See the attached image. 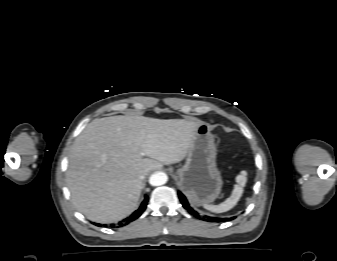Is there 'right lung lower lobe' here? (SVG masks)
Masks as SVG:
<instances>
[{"instance_id":"1","label":"right lung lower lobe","mask_w":337,"mask_h":261,"mask_svg":"<svg viewBox=\"0 0 337 261\" xmlns=\"http://www.w3.org/2000/svg\"><path fill=\"white\" fill-rule=\"evenodd\" d=\"M148 202V196H145L144 201L142 202L141 206L133 213L131 214L128 218L124 219L122 222L118 223L119 226H125L129 224L130 222L134 221L137 219L145 210ZM114 226V225H111Z\"/></svg>"}]
</instances>
